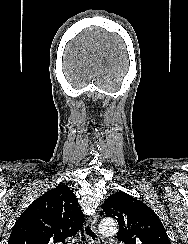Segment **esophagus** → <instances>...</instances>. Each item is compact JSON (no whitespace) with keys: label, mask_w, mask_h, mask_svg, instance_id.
I'll return each mask as SVG.
<instances>
[{"label":"esophagus","mask_w":188,"mask_h":244,"mask_svg":"<svg viewBox=\"0 0 188 244\" xmlns=\"http://www.w3.org/2000/svg\"><path fill=\"white\" fill-rule=\"evenodd\" d=\"M98 221V214L90 217L84 224V235L86 237L88 244H99L100 238L96 229V224Z\"/></svg>","instance_id":"esophagus-1"}]
</instances>
